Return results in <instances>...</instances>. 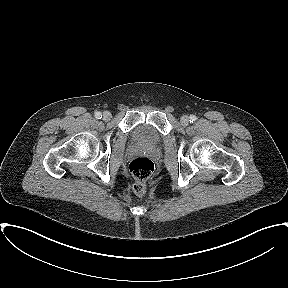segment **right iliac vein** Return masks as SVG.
Returning a JSON list of instances; mask_svg holds the SVG:
<instances>
[{"instance_id":"right-iliac-vein-1","label":"right iliac vein","mask_w":288,"mask_h":288,"mask_svg":"<svg viewBox=\"0 0 288 288\" xmlns=\"http://www.w3.org/2000/svg\"><path fill=\"white\" fill-rule=\"evenodd\" d=\"M112 115L110 112L106 111L103 113V120L109 121L111 119Z\"/></svg>"}]
</instances>
